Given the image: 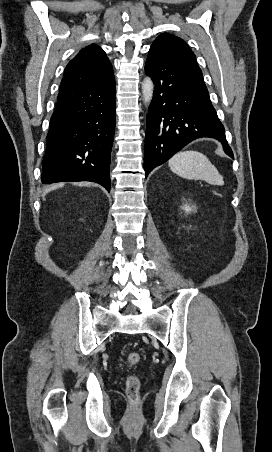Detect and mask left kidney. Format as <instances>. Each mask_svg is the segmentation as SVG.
Segmentation results:
<instances>
[{"label":"left kidney","mask_w":272,"mask_h":452,"mask_svg":"<svg viewBox=\"0 0 272 452\" xmlns=\"http://www.w3.org/2000/svg\"><path fill=\"white\" fill-rule=\"evenodd\" d=\"M183 209H184L187 213H189V212L192 211V208H191L189 205H187V204L183 207Z\"/></svg>","instance_id":"5707ae66"}]
</instances>
